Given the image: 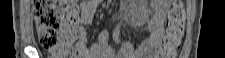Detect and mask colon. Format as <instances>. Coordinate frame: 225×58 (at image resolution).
I'll return each instance as SVG.
<instances>
[{
  "mask_svg": "<svg viewBox=\"0 0 225 58\" xmlns=\"http://www.w3.org/2000/svg\"><path fill=\"white\" fill-rule=\"evenodd\" d=\"M35 23L40 44L52 58H77L79 8L71 0L34 1ZM186 14L181 5L174 6L168 15V25L160 56L174 58L185 29Z\"/></svg>",
  "mask_w": 225,
  "mask_h": 58,
  "instance_id": "obj_1",
  "label": "colon"
}]
</instances>
